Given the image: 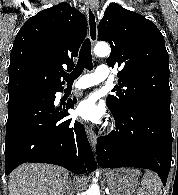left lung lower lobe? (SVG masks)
Returning <instances> with one entry per match:
<instances>
[{
    "label": "left lung lower lobe",
    "mask_w": 178,
    "mask_h": 195,
    "mask_svg": "<svg viewBox=\"0 0 178 195\" xmlns=\"http://www.w3.org/2000/svg\"><path fill=\"white\" fill-rule=\"evenodd\" d=\"M112 115L116 129L97 139L100 167L147 168L165 185L172 159L171 115L142 107Z\"/></svg>",
    "instance_id": "left-lung-lower-lobe-1"
}]
</instances>
